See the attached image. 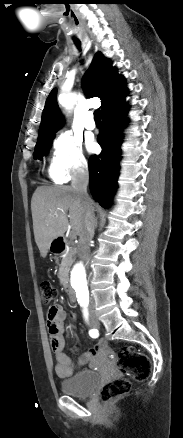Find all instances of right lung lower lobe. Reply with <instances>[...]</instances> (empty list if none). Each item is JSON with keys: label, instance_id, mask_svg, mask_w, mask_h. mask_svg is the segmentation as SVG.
I'll return each instance as SVG.
<instances>
[{"label": "right lung lower lobe", "instance_id": "98d812e1", "mask_svg": "<svg viewBox=\"0 0 183 438\" xmlns=\"http://www.w3.org/2000/svg\"><path fill=\"white\" fill-rule=\"evenodd\" d=\"M122 101L102 113L103 126L97 137L102 152L92 156L89 161L90 190L94 199L103 207L109 206L119 176L120 146L123 138L121 132L126 126L125 115L129 109V105Z\"/></svg>", "mask_w": 183, "mask_h": 438}]
</instances>
